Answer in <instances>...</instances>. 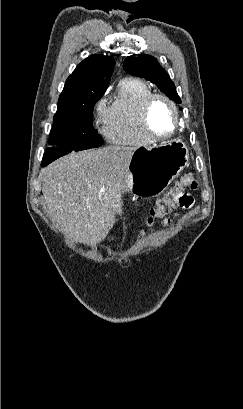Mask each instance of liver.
Wrapping results in <instances>:
<instances>
[{"instance_id": "liver-1", "label": "liver", "mask_w": 243, "mask_h": 409, "mask_svg": "<svg viewBox=\"0 0 243 409\" xmlns=\"http://www.w3.org/2000/svg\"><path fill=\"white\" fill-rule=\"evenodd\" d=\"M136 148L108 146L71 153L40 172L43 203L65 234L96 244L122 214L121 187Z\"/></svg>"}]
</instances>
